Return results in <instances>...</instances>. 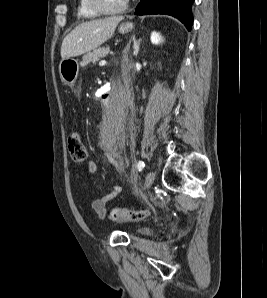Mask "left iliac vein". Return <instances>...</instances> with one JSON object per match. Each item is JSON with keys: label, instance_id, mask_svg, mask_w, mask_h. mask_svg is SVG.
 Wrapping results in <instances>:
<instances>
[{"label": "left iliac vein", "instance_id": "1", "mask_svg": "<svg viewBox=\"0 0 267 298\" xmlns=\"http://www.w3.org/2000/svg\"><path fill=\"white\" fill-rule=\"evenodd\" d=\"M155 179V173L150 171L146 174L145 180H144V189L149 188Z\"/></svg>", "mask_w": 267, "mask_h": 298}]
</instances>
